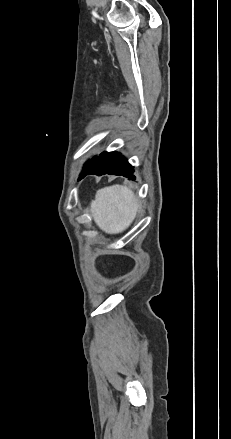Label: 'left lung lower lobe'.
<instances>
[{
	"label": "left lung lower lobe",
	"instance_id": "left-lung-lower-lobe-1",
	"mask_svg": "<svg viewBox=\"0 0 231 439\" xmlns=\"http://www.w3.org/2000/svg\"><path fill=\"white\" fill-rule=\"evenodd\" d=\"M133 172V167L127 162L125 157L117 152H103L95 159L89 168L81 173L79 179L90 174L98 176L109 174L122 175L130 180H135Z\"/></svg>",
	"mask_w": 231,
	"mask_h": 439
}]
</instances>
